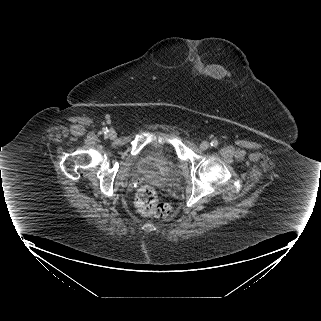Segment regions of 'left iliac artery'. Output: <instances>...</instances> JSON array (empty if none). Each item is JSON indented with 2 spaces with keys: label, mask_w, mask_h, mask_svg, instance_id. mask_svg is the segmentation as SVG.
I'll return each instance as SVG.
<instances>
[{
  "label": "left iliac artery",
  "mask_w": 321,
  "mask_h": 321,
  "mask_svg": "<svg viewBox=\"0 0 321 321\" xmlns=\"http://www.w3.org/2000/svg\"><path fill=\"white\" fill-rule=\"evenodd\" d=\"M211 146H213V147L218 146V141L217 140H212L211 141Z\"/></svg>",
  "instance_id": "1"
}]
</instances>
